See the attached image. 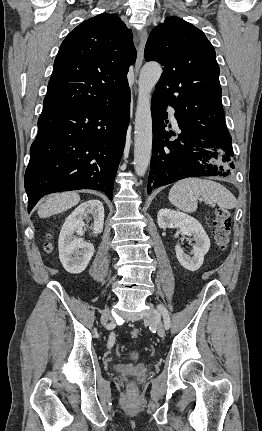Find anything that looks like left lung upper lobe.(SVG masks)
<instances>
[{
	"label": "left lung upper lobe",
	"instance_id": "1",
	"mask_svg": "<svg viewBox=\"0 0 262 431\" xmlns=\"http://www.w3.org/2000/svg\"><path fill=\"white\" fill-rule=\"evenodd\" d=\"M145 59L164 67L154 94L175 109L183 127L210 138L228 132L215 50L201 30L167 18L149 35Z\"/></svg>",
	"mask_w": 262,
	"mask_h": 431
}]
</instances>
